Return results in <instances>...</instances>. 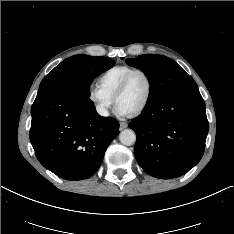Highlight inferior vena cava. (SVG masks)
<instances>
[{
	"label": "inferior vena cava",
	"instance_id": "inferior-vena-cava-1",
	"mask_svg": "<svg viewBox=\"0 0 234 234\" xmlns=\"http://www.w3.org/2000/svg\"><path fill=\"white\" fill-rule=\"evenodd\" d=\"M96 110H97L98 114L101 115V116H104V117L109 116L108 110L102 105H98L96 107Z\"/></svg>",
	"mask_w": 234,
	"mask_h": 234
}]
</instances>
